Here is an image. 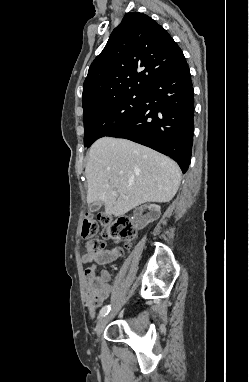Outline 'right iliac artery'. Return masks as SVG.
Returning a JSON list of instances; mask_svg holds the SVG:
<instances>
[{
    "label": "right iliac artery",
    "mask_w": 249,
    "mask_h": 382,
    "mask_svg": "<svg viewBox=\"0 0 249 382\" xmlns=\"http://www.w3.org/2000/svg\"><path fill=\"white\" fill-rule=\"evenodd\" d=\"M111 310V305H105L99 312V318L106 316Z\"/></svg>",
    "instance_id": "right-iliac-artery-1"
}]
</instances>
